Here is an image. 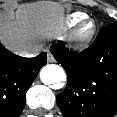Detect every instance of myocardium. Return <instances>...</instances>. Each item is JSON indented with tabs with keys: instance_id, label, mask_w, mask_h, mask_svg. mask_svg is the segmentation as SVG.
I'll return each instance as SVG.
<instances>
[{
	"instance_id": "1",
	"label": "myocardium",
	"mask_w": 117,
	"mask_h": 117,
	"mask_svg": "<svg viewBox=\"0 0 117 117\" xmlns=\"http://www.w3.org/2000/svg\"><path fill=\"white\" fill-rule=\"evenodd\" d=\"M96 23L92 19L82 22L72 33L70 41L76 48L87 46L96 33Z\"/></svg>"
}]
</instances>
